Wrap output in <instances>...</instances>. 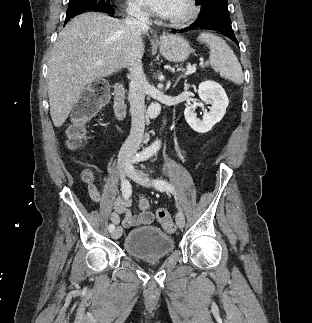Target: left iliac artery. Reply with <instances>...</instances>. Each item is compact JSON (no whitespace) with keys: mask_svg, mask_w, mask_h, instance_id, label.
<instances>
[{"mask_svg":"<svg viewBox=\"0 0 312 323\" xmlns=\"http://www.w3.org/2000/svg\"><path fill=\"white\" fill-rule=\"evenodd\" d=\"M142 159H138V161H141ZM154 186L159 189L160 191L161 190H168L170 192H172L173 194H175V190H174V187L168 182V181H165V180H154Z\"/></svg>","mask_w":312,"mask_h":323,"instance_id":"44dca946","label":"left iliac artery"}]
</instances>
